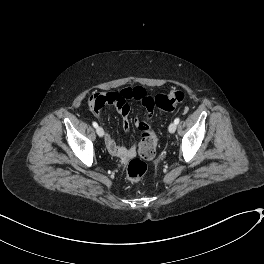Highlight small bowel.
Instances as JSON below:
<instances>
[{
	"mask_svg": "<svg viewBox=\"0 0 264 264\" xmlns=\"http://www.w3.org/2000/svg\"><path fill=\"white\" fill-rule=\"evenodd\" d=\"M140 93L142 96H146V91L142 87H126L119 92L109 91L103 93H97L93 95L88 104L95 111V114L98 117H102L104 109L106 106H114L117 108L118 112L122 116V128L125 134H129L130 131V118H129V106L126 103L127 99L135 98L137 93ZM151 113V112H150ZM139 121L138 117H135V124ZM104 135H105V145L109 153L118 158H128L134 155L135 147L131 149H126L123 145L118 143L109 133V130L106 126H103Z\"/></svg>",
	"mask_w": 264,
	"mask_h": 264,
	"instance_id": "small-bowel-1",
	"label": "small bowel"
}]
</instances>
